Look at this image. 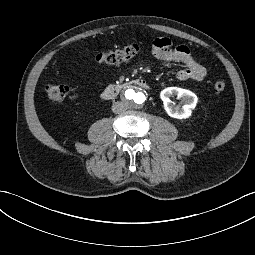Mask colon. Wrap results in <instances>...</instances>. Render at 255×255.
<instances>
[{
  "instance_id": "obj_1",
  "label": "colon",
  "mask_w": 255,
  "mask_h": 255,
  "mask_svg": "<svg viewBox=\"0 0 255 255\" xmlns=\"http://www.w3.org/2000/svg\"><path fill=\"white\" fill-rule=\"evenodd\" d=\"M139 51V47L135 43H130L123 48L114 50H101L96 55V60L105 64H118L134 57ZM225 89V82L217 80L214 83L216 93H221ZM44 92L51 102H62L70 94L71 88L64 84H47Z\"/></svg>"
}]
</instances>
